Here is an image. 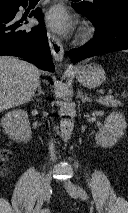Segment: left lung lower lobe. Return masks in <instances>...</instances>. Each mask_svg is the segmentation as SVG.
Segmentation results:
<instances>
[{"mask_svg":"<svg viewBox=\"0 0 128 213\" xmlns=\"http://www.w3.org/2000/svg\"><path fill=\"white\" fill-rule=\"evenodd\" d=\"M72 7L87 16L97 29L95 38L88 41L86 46L69 51L73 63L98 54L128 49V11H121L99 23L76 4H72Z\"/></svg>","mask_w":128,"mask_h":213,"instance_id":"left-lung-lower-lobe-1","label":"left lung lower lobe"}]
</instances>
